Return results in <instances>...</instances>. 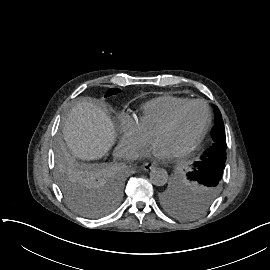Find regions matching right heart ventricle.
<instances>
[{
	"mask_svg": "<svg viewBox=\"0 0 270 270\" xmlns=\"http://www.w3.org/2000/svg\"><path fill=\"white\" fill-rule=\"evenodd\" d=\"M190 102V99L164 95L146 102L136 118L139 127L148 134L167 121L177 110Z\"/></svg>",
	"mask_w": 270,
	"mask_h": 270,
	"instance_id": "e07e8e85",
	"label": "right heart ventricle"
}]
</instances>
